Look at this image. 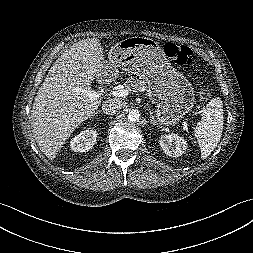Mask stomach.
<instances>
[{
	"instance_id": "0dacf381",
	"label": "stomach",
	"mask_w": 253,
	"mask_h": 253,
	"mask_svg": "<svg viewBox=\"0 0 253 253\" xmlns=\"http://www.w3.org/2000/svg\"><path fill=\"white\" fill-rule=\"evenodd\" d=\"M109 59L110 66L105 68L109 73L123 70L147 81L148 96L161 125H175L193 107L191 83L170 65L158 42L146 37L127 38L111 48Z\"/></svg>"
}]
</instances>
